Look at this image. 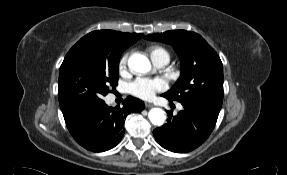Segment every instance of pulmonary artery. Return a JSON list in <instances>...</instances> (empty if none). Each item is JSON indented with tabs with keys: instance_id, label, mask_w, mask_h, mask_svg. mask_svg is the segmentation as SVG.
Listing matches in <instances>:
<instances>
[{
	"instance_id": "e3ab8cb5",
	"label": "pulmonary artery",
	"mask_w": 287,
	"mask_h": 175,
	"mask_svg": "<svg viewBox=\"0 0 287 175\" xmlns=\"http://www.w3.org/2000/svg\"><path fill=\"white\" fill-rule=\"evenodd\" d=\"M153 61L158 67H163L166 64H168L169 57H167L166 55H160V56L154 58Z\"/></svg>"
}]
</instances>
